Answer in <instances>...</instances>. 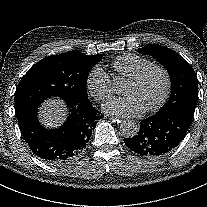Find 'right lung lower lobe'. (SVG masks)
<instances>
[{
    "label": "right lung lower lobe",
    "instance_id": "obj_1",
    "mask_svg": "<svg viewBox=\"0 0 207 207\" xmlns=\"http://www.w3.org/2000/svg\"><path fill=\"white\" fill-rule=\"evenodd\" d=\"M67 105L70 114L57 129L40 125L37 118L39 106L16 112L20 131L32 152L52 165H64L79 157L101 118L89 101Z\"/></svg>",
    "mask_w": 207,
    "mask_h": 207
}]
</instances>
